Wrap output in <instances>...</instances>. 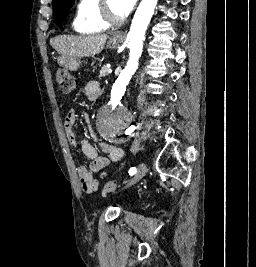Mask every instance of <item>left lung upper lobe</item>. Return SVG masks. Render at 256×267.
<instances>
[{
    "label": "left lung upper lobe",
    "mask_w": 256,
    "mask_h": 267,
    "mask_svg": "<svg viewBox=\"0 0 256 267\" xmlns=\"http://www.w3.org/2000/svg\"><path fill=\"white\" fill-rule=\"evenodd\" d=\"M73 3L74 0H53L54 20L58 26H61Z\"/></svg>",
    "instance_id": "5c2ea615"
}]
</instances>
